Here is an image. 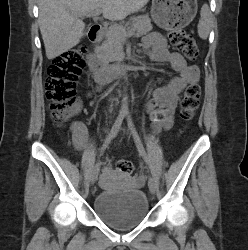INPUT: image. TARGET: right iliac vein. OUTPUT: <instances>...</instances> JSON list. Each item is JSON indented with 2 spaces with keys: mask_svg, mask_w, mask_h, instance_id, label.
Returning <instances> with one entry per match:
<instances>
[{
  "mask_svg": "<svg viewBox=\"0 0 248 250\" xmlns=\"http://www.w3.org/2000/svg\"><path fill=\"white\" fill-rule=\"evenodd\" d=\"M98 174H99V166H95L92 175H91V184L93 185L97 179H98Z\"/></svg>",
  "mask_w": 248,
  "mask_h": 250,
  "instance_id": "right-iliac-vein-1",
  "label": "right iliac vein"
}]
</instances>
